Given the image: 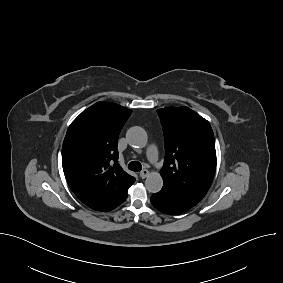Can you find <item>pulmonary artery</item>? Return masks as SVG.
Returning a JSON list of instances; mask_svg holds the SVG:
<instances>
[{
    "instance_id": "e3ab8cb5",
    "label": "pulmonary artery",
    "mask_w": 283,
    "mask_h": 283,
    "mask_svg": "<svg viewBox=\"0 0 283 283\" xmlns=\"http://www.w3.org/2000/svg\"><path fill=\"white\" fill-rule=\"evenodd\" d=\"M147 158L152 163H156L158 161V151L154 144L150 145L147 149Z\"/></svg>"
}]
</instances>
